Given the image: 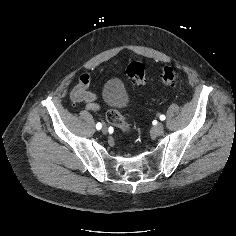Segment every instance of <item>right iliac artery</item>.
Masks as SVG:
<instances>
[{
  "instance_id": "1",
  "label": "right iliac artery",
  "mask_w": 236,
  "mask_h": 236,
  "mask_svg": "<svg viewBox=\"0 0 236 236\" xmlns=\"http://www.w3.org/2000/svg\"><path fill=\"white\" fill-rule=\"evenodd\" d=\"M102 128V124L100 123V122H98L97 124H96V129L97 130H100Z\"/></svg>"
}]
</instances>
